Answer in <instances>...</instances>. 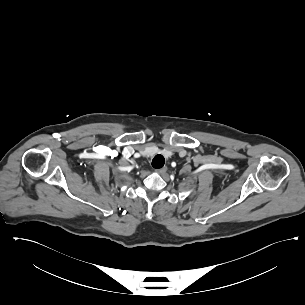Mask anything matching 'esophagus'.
<instances>
[{
	"instance_id": "34e87169",
	"label": "esophagus",
	"mask_w": 305,
	"mask_h": 305,
	"mask_svg": "<svg viewBox=\"0 0 305 305\" xmlns=\"http://www.w3.org/2000/svg\"><path fill=\"white\" fill-rule=\"evenodd\" d=\"M167 171V167H163L161 169H156L155 172L159 174H164Z\"/></svg>"
}]
</instances>
